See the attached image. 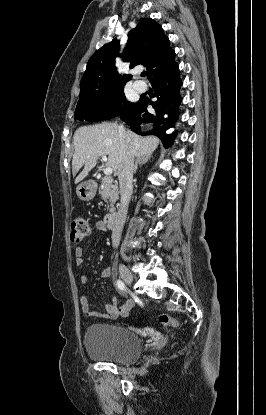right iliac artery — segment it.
<instances>
[{
  "mask_svg": "<svg viewBox=\"0 0 266 415\" xmlns=\"http://www.w3.org/2000/svg\"><path fill=\"white\" fill-rule=\"evenodd\" d=\"M116 285H117L118 289H120L122 291L126 290V286H125L124 282H122L121 280H117Z\"/></svg>",
  "mask_w": 266,
  "mask_h": 415,
  "instance_id": "obj_1",
  "label": "right iliac artery"
}]
</instances>
